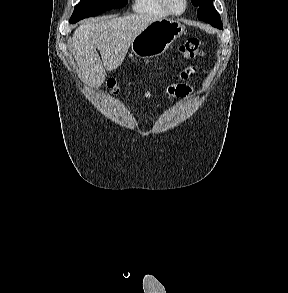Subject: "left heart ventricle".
Instances as JSON below:
<instances>
[{
  "label": "left heart ventricle",
  "mask_w": 288,
  "mask_h": 293,
  "mask_svg": "<svg viewBox=\"0 0 288 293\" xmlns=\"http://www.w3.org/2000/svg\"><path fill=\"white\" fill-rule=\"evenodd\" d=\"M170 7L176 11L180 12L184 8L183 0H168Z\"/></svg>",
  "instance_id": "left-heart-ventricle-1"
}]
</instances>
